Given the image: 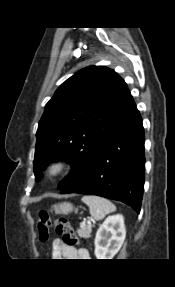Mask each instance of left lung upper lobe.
I'll use <instances>...</instances> for the list:
<instances>
[{
  "label": "left lung upper lobe",
  "instance_id": "left-lung-upper-lobe-1",
  "mask_svg": "<svg viewBox=\"0 0 175 287\" xmlns=\"http://www.w3.org/2000/svg\"><path fill=\"white\" fill-rule=\"evenodd\" d=\"M124 80L105 66L86 67L67 79L46 104L36 133V180L53 161L72 169L58 185L62 190L80 178L104 140L135 111Z\"/></svg>",
  "mask_w": 175,
  "mask_h": 287
}]
</instances>
